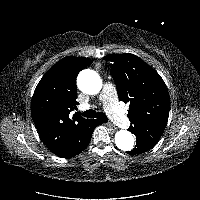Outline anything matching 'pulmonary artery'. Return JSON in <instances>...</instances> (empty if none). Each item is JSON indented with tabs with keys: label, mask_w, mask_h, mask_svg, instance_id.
I'll list each match as a JSON object with an SVG mask.
<instances>
[{
	"label": "pulmonary artery",
	"mask_w": 200,
	"mask_h": 200,
	"mask_svg": "<svg viewBox=\"0 0 200 200\" xmlns=\"http://www.w3.org/2000/svg\"><path fill=\"white\" fill-rule=\"evenodd\" d=\"M99 101L103 103L108 115L117 125L121 127L129 126V118L120 109L118 105L117 92L112 84H104L102 91L99 95Z\"/></svg>",
	"instance_id": "1"
}]
</instances>
